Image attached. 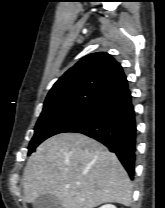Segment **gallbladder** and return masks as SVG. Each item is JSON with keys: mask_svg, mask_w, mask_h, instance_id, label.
<instances>
[{"mask_svg": "<svg viewBox=\"0 0 165 208\" xmlns=\"http://www.w3.org/2000/svg\"><path fill=\"white\" fill-rule=\"evenodd\" d=\"M34 208H62L61 201L54 195L42 194L34 202Z\"/></svg>", "mask_w": 165, "mask_h": 208, "instance_id": "obj_1", "label": "gallbladder"}]
</instances>
